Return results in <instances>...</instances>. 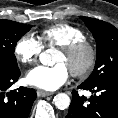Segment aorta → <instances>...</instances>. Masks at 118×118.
<instances>
[{
	"instance_id": "aorta-1",
	"label": "aorta",
	"mask_w": 118,
	"mask_h": 118,
	"mask_svg": "<svg viewBox=\"0 0 118 118\" xmlns=\"http://www.w3.org/2000/svg\"><path fill=\"white\" fill-rule=\"evenodd\" d=\"M40 62L42 64H48L50 62V55L47 52L40 54ZM53 102L56 108L60 110L67 109L70 105V97L65 93H58L54 96Z\"/></svg>"
}]
</instances>
